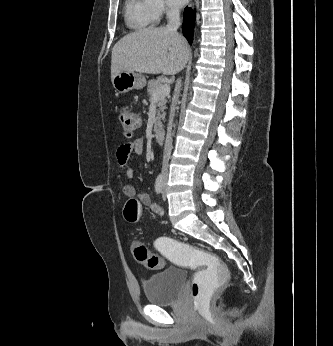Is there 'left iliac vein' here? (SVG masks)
Returning a JSON list of instances; mask_svg holds the SVG:
<instances>
[{
    "mask_svg": "<svg viewBox=\"0 0 333 346\" xmlns=\"http://www.w3.org/2000/svg\"><path fill=\"white\" fill-rule=\"evenodd\" d=\"M167 177L168 175L165 174V183H164V186H163V191H162V198L163 200H166V193H167V186H166V181H167Z\"/></svg>",
    "mask_w": 333,
    "mask_h": 346,
    "instance_id": "obj_1",
    "label": "left iliac vein"
}]
</instances>
